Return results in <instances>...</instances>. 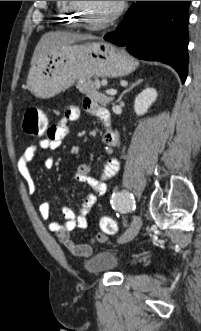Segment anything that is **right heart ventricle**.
Instances as JSON below:
<instances>
[{
	"instance_id": "1",
	"label": "right heart ventricle",
	"mask_w": 201,
	"mask_h": 331,
	"mask_svg": "<svg viewBox=\"0 0 201 331\" xmlns=\"http://www.w3.org/2000/svg\"><path fill=\"white\" fill-rule=\"evenodd\" d=\"M56 7L59 19L65 23V26L73 27L77 25V13L71 7L70 1H56Z\"/></svg>"
}]
</instances>
